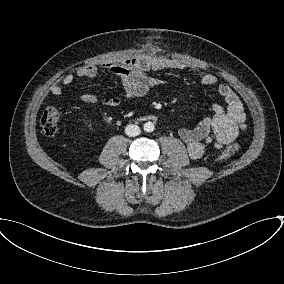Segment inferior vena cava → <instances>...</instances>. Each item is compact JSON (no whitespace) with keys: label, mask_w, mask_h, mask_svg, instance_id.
<instances>
[{"label":"inferior vena cava","mask_w":284,"mask_h":284,"mask_svg":"<svg viewBox=\"0 0 284 284\" xmlns=\"http://www.w3.org/2000/svg\"><path fill=\"white\" fill-rule=\"evenodd\" d=\"M125 133L129 137L138 136L141 133L139 126L130 124L125 127Z\"/></svg>","instance_id":"1"}]
</instances>
